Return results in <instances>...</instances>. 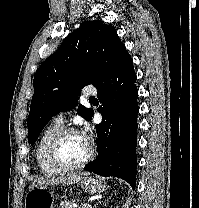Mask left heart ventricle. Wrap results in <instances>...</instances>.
Returning <instances> with one entry per match:
<instances>
[{"instance_id": "b2bd125f", "label": "left heart ventricle", "mask_w": 199, "mask_h": 208, "mask_svg": "<svg viewBox=\"0 0 199 208\" xmlns=\"http://www.w3.org/2000/svg\"><path fill=\"white\" fill-rule=\"evenodd\" d=\"M87 153V141L81 134L67 136L59 147V157L68 165L79 163L86 157Z\"/></svg>"}]
</instances>
